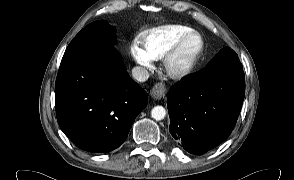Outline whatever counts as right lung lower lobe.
<instances>
[{"label": "right lung lower lobe", "instance_id": "1", "mask_svg": "<svg viewBox=\"0 0 294 180\" xmlns=\"http://www.w3.org/2000/svg\"><path fill=\"white\" fill-rule=\"evenodd\" d=\"M147 102V92L129 77L113 47L61 61L55 83L57 121L85 151L119 147Z\"/></svg>", "mask_w": 294, "mask_h": 180}]
</instances>
